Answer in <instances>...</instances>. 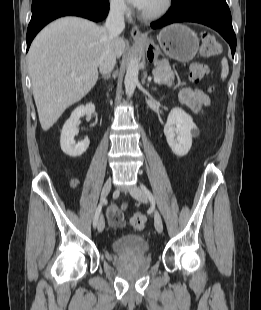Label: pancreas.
I'll return each instance as SVG.
<instances>
[{
  "instance_id": "1",
  "label": "pancreas",
  "mask_w": 261,
  "mask_h": 310,
  "mask_svg": "<svg viewBox=\"0 0 261 310\" xmlns=\"http://www.w3.org/2000/svg\"><path fill=\"white\" fill-rule=\"evenodd\" d=\"M154 77L160 78L159 84L172 86L174 81V72L171 70L167 62H156V67L153 70Z\"/></svg>"
}]
</instances>
